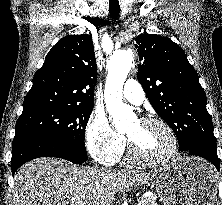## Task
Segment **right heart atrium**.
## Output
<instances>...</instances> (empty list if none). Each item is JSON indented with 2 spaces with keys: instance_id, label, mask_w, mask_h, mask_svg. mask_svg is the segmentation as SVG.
<instances>
[{
  "instance_id": "1",
  "label": "right heart atrium",
  "mask_w": 222,
  "mask_h": 205,
  "mask_svg": "<svg viewBox=\"0 0 222 205\" xmlns=\"http://www.w3.org/2000/svg\"><path fill=\"white\" fill-rule=\"evenodd\" d=\"M85 141L91 156L100 164L115 163L123 154L125 139L101 112H93L85 128Z\"/></svg>"
}]
</instances>
